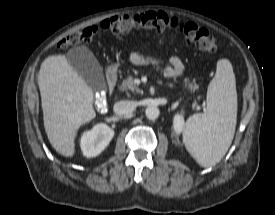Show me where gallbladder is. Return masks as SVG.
I'll use <instances>...</instances> for the list:
<instances>
[{"label": "gallbladder", "instance_id": "gallbladder-1", "mask_svg": "<svg viewBox=\"0 0 275 215\" xmlns=\"http://www.w3.org/2000/svg\"><path fill=\"white\" fill-rule=\"evenodd\" d=\"M66 58L92 90L101 91L105 89L106 84L102 67L87 47L79 46L70 49L66 54Z\"/></svg>", "mask_w": 275, "mask_h": 215}]
</instances>
